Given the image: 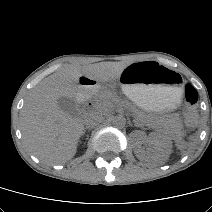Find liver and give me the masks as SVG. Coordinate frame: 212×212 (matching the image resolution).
<instances>
[{
  "instance_id": "1",
  "label": "liver",
  "mask_w": 212,
  "mask_h": 212,
  "mask_svg": "<svg viewBox=\"0 0 212 212\" xmlns=\"http://www.w3.org/2000/svg\"><path fill=\"white\" fill-rule=\"evenodd\" d=\"M127 65L124 62L69 65L40 82L21 111V131L27 149L44 164H61L72 159L84 131V121L62 111L57 99H75L81 90L78 85L81 76L98 83L114 82Z\"/></svg>"
}]
</instances>
